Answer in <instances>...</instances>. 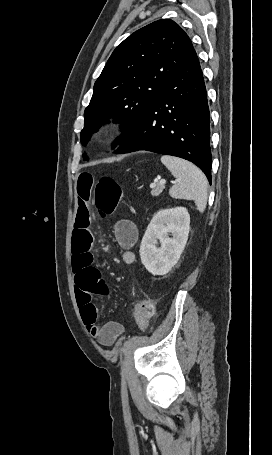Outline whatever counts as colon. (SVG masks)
<instances>
[{
	"label": "colon",
	"mask_w": 272,
	"mask_h": 455,
	"mask_svg": "<svg viewBox=\"0 0 272 455\" xmlns=\"http://www.w3.org/2000/svg\"><path fill=\"white\" fill-rule=\"evenodd\" d=\"M123 197L120 185L111 177H101L94 188V205L102 217L112 215ZM154 314L149 300L141 299L135 305L134 317L140 330L145 331Z\"/></svg>",
	"instance_id": "obj_1"
}]
</instances>
